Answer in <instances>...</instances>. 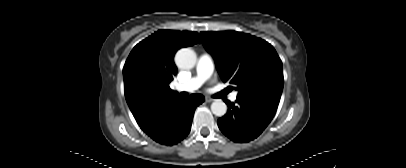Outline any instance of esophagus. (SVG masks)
<instances>
[{
  "instance_id": "obj_1",
  "label": "esophagus",
  "mask_w": 406,
  "mask_h": 168,
  "mask_svg": "<svg viewBox=\"0 0 406 168\" xmlns=\"http://www.w3.org/2000/svg\"><path fill=\"white\" fill-rule=\"evenodd\" d=\"M205 101L208 102V103H211V102L214 101V99H213V98H210V97H206V98H205Z\"/></svg>"
}]
</instances>
